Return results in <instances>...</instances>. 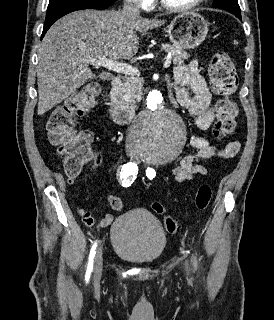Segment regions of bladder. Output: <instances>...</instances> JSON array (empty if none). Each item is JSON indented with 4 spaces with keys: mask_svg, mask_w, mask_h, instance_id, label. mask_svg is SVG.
I'll use <instances>...</instances> for the list:
<instances>
[{
    "mask_svg": "<svg viewBox=\"0 0 274 320\" xmlns=\"http://www.w3.org/2000/svg\"><path fill=\"white\" fill-rule=\"evenodd\" d=\"M111 243L120 258L134 264H152L164 253L167 238L163 226L151 213L131 209L111 225Z\"/></svg>",
    "mask_w": 274,
    "mask_h": 320,
    "instance_id": "bladder-1",
    "label": "bladder"
}]
</instances>
